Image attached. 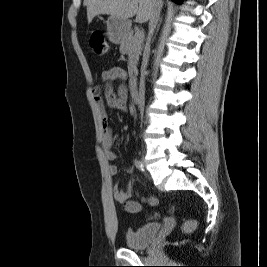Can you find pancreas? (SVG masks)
<instances>
[{
	"instance_id": "pancreas-1",
	"label": "pancreas",
	"mask_w": 267,
	"mask_h": 267,
	"mask_svg": "<svg viewBox=\"0 0 267 267\" xmlns=\"http://www.w3.org/2000/svg\"><path fill=\"white\" fill-rule=\"evenodd\" d=\"M142 42L143 40L138 39L136 35H134L133 30L125 34L120 42V53L129 56L128 72L130 76L137 72L136 65L141 53Z\"/></svg>"
}]
</instances>
